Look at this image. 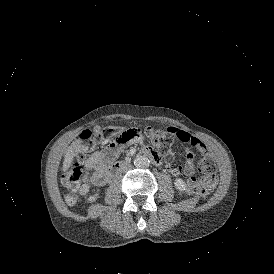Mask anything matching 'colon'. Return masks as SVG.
<instances>
[{"mask_svg":"<svg viewBox=\"0 0 274 274\" xmlns=\"http://www.w3.org/2000/svg\"><path fill=\"white\" fill-rule=\"evenodd\" d=\"M90 134L91 133L86 132L77 134L76 139L80 143L70 152L72 160L62 166L66 190L65 201L70 206H73L78 202L77 185L82 177V149L83 146L90 141ZM144 134L152 142L161 156H172L170 153L171 150L176 147H181V140H177L176 135H169L165 128L156 129L151 126L145 127L144 133L142 131L126 130L114 127L104 129L101 132L97 131L93 133V137H102L111 142L114 146L122 147L126 144H137L138 140L144 138ZM188 191L190 194L201 198H205L209 195L207 187L200 178L189 183Z\"/></svg>","mask_w":274,"mask_h":274,"instance_id":"5ec220e1","label":"colon"}]
</instances>
